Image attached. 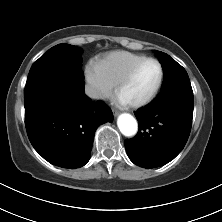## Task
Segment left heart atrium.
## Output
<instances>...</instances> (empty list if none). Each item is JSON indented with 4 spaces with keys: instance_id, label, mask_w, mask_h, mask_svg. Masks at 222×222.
I'll list each match as a JSON object with an SVG mask.
<instances>
[{
    "instance_id": "39dd6f15",
    "label": "left heart atrium",
    "mask_w": 222,
    "mask_h": 222,
    "mask_svg": "<svg viewBox=\"0 0 222 222\" xmlns=\"http://www.w3.org/2000/svg\"><path fill=\"white\" fill-rule=\"evenodd\" d=\"M117 103L119 104V105H127L128 103L122 98V97H118L117 98Z\"/></svg>"
}]
</instances>
